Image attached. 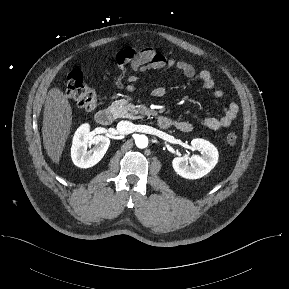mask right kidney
I'll return each instance as SVG.
<instances>
[{"mask_svg":"<svg viewBox=\"0 0 289 289\" xmlns=\"http://www.w3.org/2000/svg\"><path fill=\"white\" fill-rule=\"evenodd\" d=\"M109 145V138L103 135H92L89 124H82L73 137L72 161L77 167L90 168L103 158ZM88 147H90L89 150H87Z\"/></svg>","mask_w":289,"mask_h":289,"instance_id":"obj_1","label":"right kidney"}]
</instances>
